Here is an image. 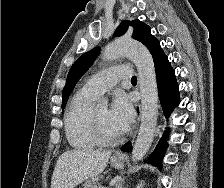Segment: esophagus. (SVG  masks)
Segmentation results:
<instances>
[{
  "mask_svg": "<svg viewBox=\"0 0 224 188\" xmlns=\"http://www.w3.org/2000/svg\"><path fill=\"white\" fill-rule=\"evenodd\" d=\"M135 133H136V132H135ZM115 156H116V157H123V155L120 154V153H116Z\"/></svg>",
  "mask_w": 224,
  "mask_h": 188,
  "instance_id": "34e87169",
  "label": "esophagus"
}]
</instances>
